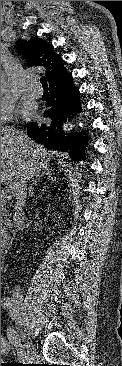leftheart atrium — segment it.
<instances>
[{
  "label": "left heart atrium",
  "instance_id": "1",
  "mask_svg": "<svg viewBox=\"0 0 122 366\" xmlns=\"http://www.w3.org/2000/svg\"><path fill=\"white\" fill-rule=\"evenodd\" d=\"M21 112L24 116H28L31 113V108L29 106L24 105L21 109Z\"/></svg>",
  "mask_w": 122,
  "mask_h": 366
}]
</instances>
